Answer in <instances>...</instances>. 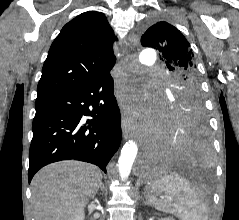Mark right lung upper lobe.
Segmentation results:
<instances>
[{
    "mask_svg": "<svg viewBox=\"0 0 239 220\" xmlns=\"http://www.w3.org/2000/svg\"><path fill=\"white\" fill-rule=\"evenodd\" d=\"M114 39L102 12L88 11L67 23L49 49L36 100L80 89L110 71Z\"/></svg>",
    "mask_w": 239,
    "mask_h": 220,
    "instance_id": "obj_1",
    "label": "right lung upper lobe"
}]
</instances>
